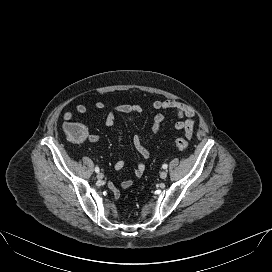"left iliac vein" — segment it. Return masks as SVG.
I'll return each mask as SVG.
<instances>
[{
  "label": "left iliac vein",
  "instance_id": "4c4485c4",
  "mask_svg": "<svg viewBox=\"0 0 272 272\" xmlns=\"http://www.w3.org/2000/svg\"><path fill=\"white\" fill-rule=\"evenodd\" d=\"M160 177H161L162 179H165V178L167 177V172H166V171H162V172L160 173Z\"/></svg>",
  "mask_w": 272,
  "mask_h": 272
}]
</instances>
